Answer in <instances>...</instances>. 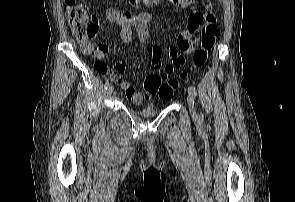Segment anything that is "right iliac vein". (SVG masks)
Listing matches in <instances>:
<instances>
[{
	"label": "right iliac vein",
	"instance_id": "obj_1",
	"mask_svg": "<svg viewBox=\"0 0 295 202\" xmlns=\"http://www.w3.org/2000/svg\"><path fill=\"white\" fill-rule=\"evenodd\" d=\"M113 90H114V88H113L112 86H109V87L107 88V93H108V94H112Z\"/></svg>",
	"mask_w": 295,
	"mask_h": 202
}]
</instances>
